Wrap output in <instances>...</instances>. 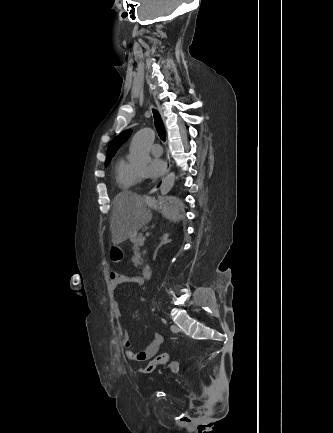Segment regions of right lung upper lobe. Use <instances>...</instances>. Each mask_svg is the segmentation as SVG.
I'll return each instance as SVG.
<instances>
[{
  "label": "right lung upper lobe",
  "mask_w": 333,
  "mask_h": 433,
  "mask_svg": "<svg viewBox=\"0 0 333 433\" xmlns=\"http://www.w3.org/2000/svg\"><path fill=\"white\" fill-rule=\"evenodd\" d=\"M131 133H132L131 129L126 130L111 141L108 147L106 163H105L106 165L109 164L111 158L114 156L118 148L130 137Z\"/></svg>",
  "instance_id": "cb5924a9"
}]
</instances>
